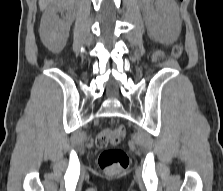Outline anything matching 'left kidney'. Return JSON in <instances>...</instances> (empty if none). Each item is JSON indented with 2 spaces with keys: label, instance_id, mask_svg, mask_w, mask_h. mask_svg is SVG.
Here are the masks:
<instances>
[{
  "label": "left kidney",
  "instance_id": "obj_1",
  "mask_svg": "<svg viewBox=\"0 0 223 191\" xmlns=\"http://www.w3.org/2000/svg\"><path fill=\"white\" fill-rule=\"evenodd\" d=\"M151 35L162 43L174 42L180 33L181 20L173 0H139Z\"/></svg>",
  "mask_w": 223,
  "mask_h": 191
}]
</instances>
